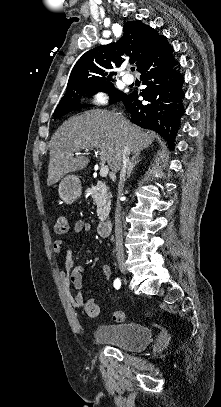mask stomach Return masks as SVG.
<instances>
[{"instance_id":"stomach-1","label":"stomach","mask_w":221,"mask_h":407,"mask_svg":"<svg viewBox=\"0 0 221 407\" xmlns=\"http://www.w3.org/2000/svg\"><path fill=\"white\" fill-rule=\"evenodd\" d=\"M59 196L67 204L80 198L82 193L81 182L76 175H67L59 183Z\"/></svg>"}]
</instances>
